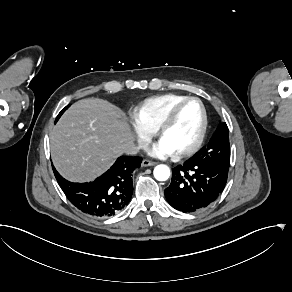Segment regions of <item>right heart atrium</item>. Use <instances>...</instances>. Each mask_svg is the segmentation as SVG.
Returning <instances> with one entry per match:
<instances>
[{"mask_svg":"<svg viewBox=\"0 0 292 292\" xmlns=\"http://www.w3.org/2000/svg\"><path fill=\"white\" fill-rule=\"evenodd\" d=\"M128 116H130V117H132L134 120H135V118L132 116V115H128ZM136 121V120H135ZM137 122V121H136ZM138 123V122H137ZM139 124V123H138ZM139 126H140V128H141V130H142V134H143V143H142V146L146 143V141H147V139H148V136L150 135V130L148 129V128H146V127H144V126H142V125H140L139 124Z\"/></svg>","mask_w":292,"mask_h":292,"instance_id":"d8ad5b80","label":"right heart atrium"}]
</instances>
